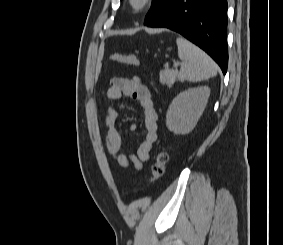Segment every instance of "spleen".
Here are the masks:
<instances>
[{"label":"spleen","mask_w":283,"mask_h":245,"mask_svg":"<svg viewBox=\"0 0 283 245\" xmlns=\"http://www.w3.org/2000/svg\"><path fill=\"white\" fill-rule=\"evenodd\" d=\"M176 43L178 57L182 61L179 72L181 81H203L217 74L218 66L199 47L183 37H178Z\"/></svg>","instance_id":"obj_1"}]
</instances>
